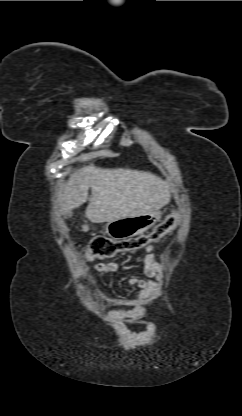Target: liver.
Listing matches in <instances>:
<instances>
[{
  "label": "liver",
  "instance_id": "obj_1",
  "mask_svg": "<svg viewBox=\"0 0 242 416\" xmlns=\"http://www.w3.org/2000/svg\"><path fill=\"white\" fill-rule=\"evenodd\" d=\"M92 196L85 216L92 223L155 212L170 202L168 182L151 172L87 166L73 173L59 195V212L79 208Z\"/></svg>",
  "mask_w": 242,
  "mask_h": 416
}]
</instances>
